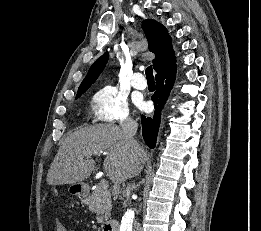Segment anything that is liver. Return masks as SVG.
Returning <instances> with one entry per match:
<instances>
[{"mask_svg":"<svg viewBox=\"0 0 261 231\" xmlns=\"http://www.w3.org/2000/svg\"><path fill=\"white\" fill-rule=\"evenodd\" d=\"M134 157L125 143L122 129L113 124L88 126L69 135L60 146L47 174L49 185L80 183L87 179L95 166L91 156L108 150L103 166L114 184L137 176L143 169L146 152ZM91 153L92 155H88ZM99 155V154H94Z\"/></svg>","mask_w":261,"mask_h":231,"instance_id":"6515ba94","label":"liver"}]
</instances>
